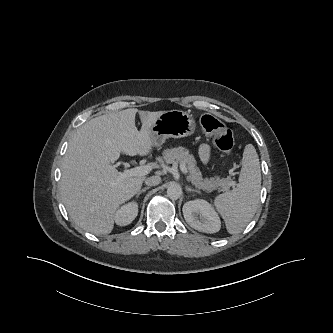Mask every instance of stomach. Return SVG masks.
Returning a JSON list of instances; mask_svg holds the SVG:
<instances>
[{
    "mask_svg": "<svg viewBox=\"0 0 333 333\" xmlns=\"http://www.w3.org/2000/svg\"><path fill=\"white\" fill-rule=\"evenodd\" d=\"M193 116L181 110L164 111L150 126L153 146L162 145L167 138H181L195 132Z\"/></svg>",
    "mask_w": 333,
    "mask_h": 333,
    "instance_id": "1",
    "label": "stomach"
}]
</instances>
